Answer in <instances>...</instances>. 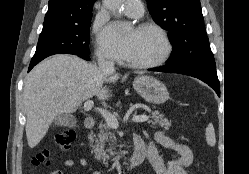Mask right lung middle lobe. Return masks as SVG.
Returning <instances> with one entry per match:
<instances>
[{
    "label": "right lung middle lobe",
    "mask_w": 249,
    "mask_h": 174,
    "mask_svg": "<svg viewBox=\"0 0 249 174\" xmlns=\"http://www.w3.org/2000/svg\"><path fill=\"white\" fill-rule=\"evenodd\" d=\"M91 19L42 30L31 62L54 54H88Z\"/></svg>",
    "instance_id": "obj_1"
}]
</instances>
